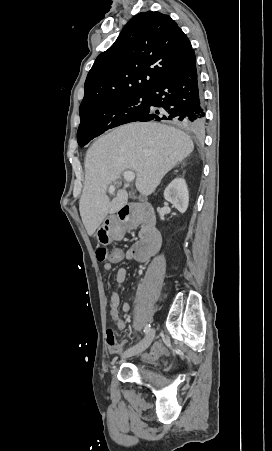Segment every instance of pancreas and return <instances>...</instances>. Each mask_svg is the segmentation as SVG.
<instances>
[{"label": "pancreas", "mask_w": 272, "mask_h": 451, "mask_svg": "<svg viewBox=\"0 0 272 451\" xmlns=\"http://www.w3.org/2000/svg\"><path fill=\"white\" fill-rule=\"evenodd\" d=\"M139 235H141V231H139Z\"/></svg>", "instance_id": "cf45deb5"}]
</instances>
